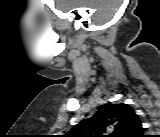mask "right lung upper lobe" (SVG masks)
<instances>
[{
    "label": "right lung upper lobe",
    "mask_w": 160,
    "mask_h": 137,
    "mask_svg": "<svg viewBox=\"0 0 160 137\" xmlns=\"http://www.w3.org/2000/svg\"><path fill=\"white\" fill-rule=\"evenodd\" d=\"M76 137H139L141 122L126 104H105L91 118L79 122L71 131Z\"/></svg>",
    "instance_id": "obj_1"
}]
</instances>
